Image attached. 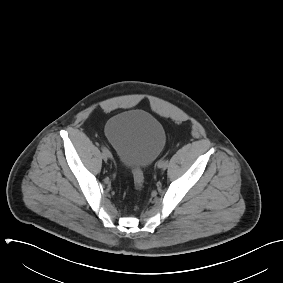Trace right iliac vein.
I'll return each mask as SVG.
<instances>
[{
  "label": "right iliac vein",
  "instance_id": "obj_1",
  "mask_svg": "<svg viewBox=\"0 0 283 283\" xmlns=\"http://www.w3.org/2000/svg\"><path fill=\"white\" fill-rule=\"evenodd\" d=\"M102 158L104 161H107L109 158H111V154H107V153H102Z\"/></svg>",
  "mask_w": 283,
  "mask_h": 283
}]
</instances>
